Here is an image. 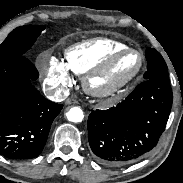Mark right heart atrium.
<instances>
[{"instance_id":"1","label":"right heart atrium","mask_w":183,"mask_h":183,"mask_svg":"<svg viewBox=\"0 0 183 183\" xmlns=\"http://www.w3.org/2000/svg\"><path fill=\"white\" fill-rule=\"evenodd\" d=\"M45 83L59 92H66L72 80L64 64L55 57H51L46 68H42Z\"/></svg>"}]
</instances>
